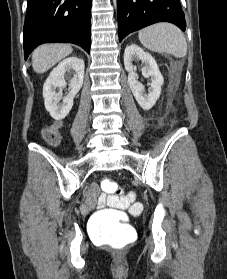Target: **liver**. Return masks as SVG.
Wrapping results in <instances>:
<instances>
[{"label": "liver", "instance_id": "obj_1", "mask_svg": "<svg viewBox=\"0 0 227 279\" xmlns=\"http://www.w3.org/2000/svg\"><path fill=\"white\" fill-rule=\"evenodd\" d=\"M72 51V47L67 44L41 45L32 53V67L35 72L44 73Z\"/></svg>", "mask_w": 227, "mask_h": 279}]
</instances>
